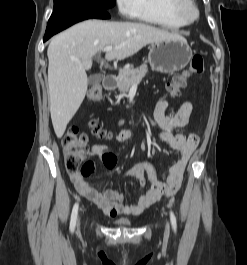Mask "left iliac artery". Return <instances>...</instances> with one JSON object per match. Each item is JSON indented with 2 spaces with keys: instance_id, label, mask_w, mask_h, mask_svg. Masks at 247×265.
Returning <instances> with one entry per match:
<instances>
[{
  "instance_id": "1",
  "label": "left iliac artery",
  "mask_w": 247,
  "mask_h": 265,
  "mask_svg": "<svg viewBox=\"0 0 247 265\" xmlns=\"http://www.w3.org/2000/svg\"><path fill=\"white\" fill-rule=\"evenodd\" d=\"M170 220H171V224H172L174 231H176V227H177L176 218L172 211L170 212Z\"/></svg>"
}]
</instances>
